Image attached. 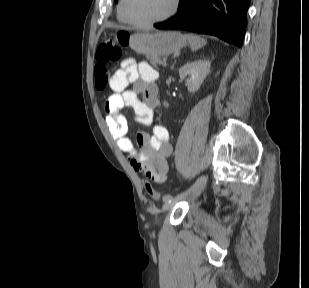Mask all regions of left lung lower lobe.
Returning <instances> with one entry per match:
<instances>
[{
  "instance_id": "1",
  "label": "left lung lower lobe",
  "mask_w": 309,
  "mask_h": 288,
  "mask_svg": "<svg viewBox=\"0 0 309 288\" xmlns=\"http://www.w3.org/2000/svg\"><path fill=\"white\" fill-rule=\"evenodd\" d=\"M249 4L250 0H180L178 13L154 26L209 34L240 47Z\"/></svg>"
}]
</instances>
